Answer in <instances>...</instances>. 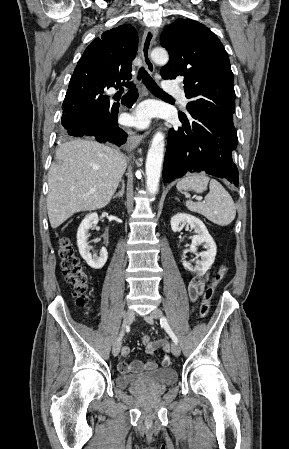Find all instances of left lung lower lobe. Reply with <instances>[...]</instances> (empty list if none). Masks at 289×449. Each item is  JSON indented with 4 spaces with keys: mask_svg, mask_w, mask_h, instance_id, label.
I'll return each mask as SVG.
<instances>
[{
    "mask_svg": "<svg viewBox=\"0 0 289 449\" xmlns=\"http://www.w3.org/2000/svg\"><path fill=\"white\" fill-rule=\"evenodd\" d=\"M191 117L187 120L179 115L183 127L169 131L163 181L170 182L187 172L205 171L238 186L235 127L202 116Z\"/></svg>",
    "mask_w": 289,
    "mask_h": 449,
    "instance_id": "left-lung-lower-lobe-1",
    "label": "left lung lower lobe"
}]
</instances>
